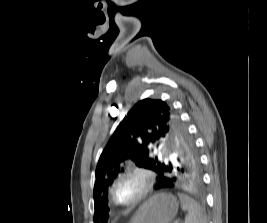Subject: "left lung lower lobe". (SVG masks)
Masks as SVG:
<instances>
[{
  "label": "left lung lower lobe",
  "mask_w": 267,
  "mask_h": 223,
  "mask_svg": "<svg viewBox=\"0 0 267 223\" xmlns=\"http://www.w3.org/2000/svg\"><path fill=\"white\" fill-rule=\"evenodd\" d=\"M202 171H168L157 173L159 181L153 187V192H168V194H182V189H199Z\"/></svg>",
  "instance_id": "0a47b994"
}]
</instances>
